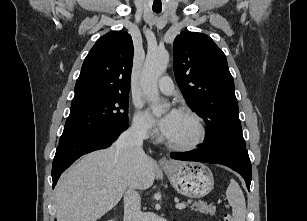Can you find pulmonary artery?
Returning a JSON list of instances; mask_svg holds the SVG:
<instances>
[{
    "mask_svg": "<svg viewBox=\"0 0 307 221\" xmlns=\"http://www.w3.org/2000/svg\"><path fill=\"white\" fill-rule=\"evenodd\" d=\"M159 90L166 94L171 95L175 92V87L172 82V79L169 76H163L158 82Z\"/></svg>",
    "mask_w": 307,
    "mask_h": 221,
    "instance_id": "pulmonary-artery-1",
    "label": "pulmonary artery"
}]
</instances>
